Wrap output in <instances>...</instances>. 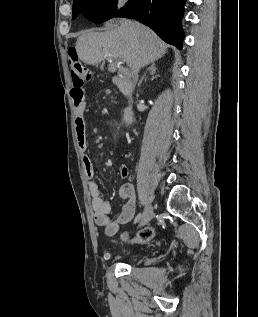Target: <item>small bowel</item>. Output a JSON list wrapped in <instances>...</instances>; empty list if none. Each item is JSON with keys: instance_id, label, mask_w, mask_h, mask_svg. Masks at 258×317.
<instances>
[{"instance_id": "c3829d8e", "label": "small bowel", "mask_w": 258, "mask_h": 317, "mask_svg": "<svg viewBox=\"0 0 258 317\" xmlns=\"http://www.w3.org/2000/svg\"><path fill=\"white\" fill-rule=\"evenodd\" d=\"M124 122L126 125L131 122L130 111L125 112ZM75 133L79 150L83 153V167L86 177L90 180L88 184L91 196V206L94 214L95 223L104 228L107 236H114L119 230V226L130 222L135 215V193L132 183L126 182L119 189L120 197L125 201L118 215L115 218L110 217V203L101 196L99 185L93 181L95 175L94 166L90 156L87 153V120L86 107H81L75 117ZM119 175L121 178L130 177L129 169L126 165L119 167Z\"/></svg>"}]
</instances>
